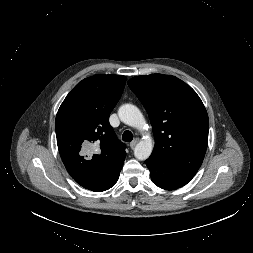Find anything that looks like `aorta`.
Returning a JSON list of instances; mask_svg holds the SVG:
<instances>
[{
    "instance_id": "obj_1",
    "label": "aorta",
    "mask_w": 253,
    "mask_h": 253,
    "mask_svg": "<svg viewBox=\"0 0 253 253\" xmlns=\"http://www.w3.org/2000/svg\"><path fill=\"white\" fill-rule=\"evenodd\" d=\"M120 120L134 128L141 129L145 124V119L141 111L133 104H124L118 110ZM153 150L151 137L143 138L134 148V156L138 160H146L150 157Z\"/></svg>"
}]
</instances>
